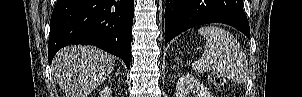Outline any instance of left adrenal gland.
Returning a JSON list of instances; mask_svg holds the SVG:
<instances>
[{
    "label": "left adrenal gland",
    "instance_id": "obj_1",
    "mask_svg": "<svg viewBox=\"0 0 302 97\" xmlns=\"http://www.w3.org/2000/svg\"><path fill=\"white\" fill-rule=\"evenodd\" d=\"M176 60L180 61L181 59L179 57L176 58ZM175 67V66H174Z\"/></svg>",
    "mask_w": 302,
    "mask_h": 97
}]
</instances>
